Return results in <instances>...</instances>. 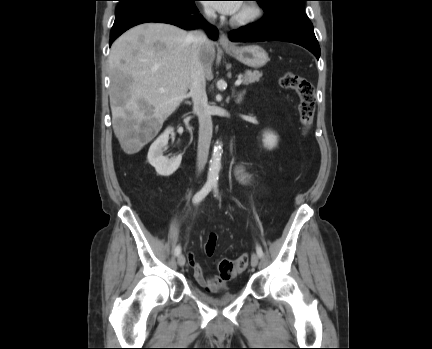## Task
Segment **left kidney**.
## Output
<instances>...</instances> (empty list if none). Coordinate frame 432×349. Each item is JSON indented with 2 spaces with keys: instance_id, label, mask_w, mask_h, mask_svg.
<instances>
[{
  "instance_id": "obj_1",
  "label": "left kidney",
  "mask_w": 432,
  "mask_h": 349,
  "mask_svg": "<svg viewBox=\"0 0 432 349\" xmlns=\"http://www.w3.org/2000/svg\"><path fill=\"white\" fill-rule=\"evenodd\" d=\"M263 144L264 147L268 148V149H272L277 145V136L271 132V131H265L263 133Z\"/></svg>"
}]
</instances>
